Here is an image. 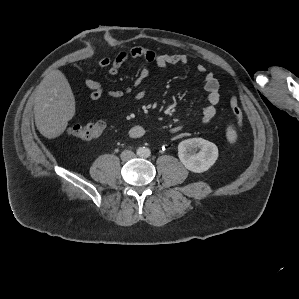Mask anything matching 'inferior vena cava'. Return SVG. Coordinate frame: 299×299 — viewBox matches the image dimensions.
Wrapping results in <instances>:
<instances>
[{
    "mask_svg": "<svg viewBox=\"0 0 299 299\" xmlns=\"http://www.w3.org/2000/svg\"><path fill=\"white\" fill-rule=\"evenodd\" d=\"M134 157H135V154L132 151H129V150H125L121 153V159L123 161L131 160Z\"/></svg>",
    "mask_w": 299,
    "mask_h": 299,
    "instance_id": "602c4592",
    "label": "inferior vena cava"
}]
</instances>
